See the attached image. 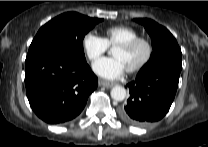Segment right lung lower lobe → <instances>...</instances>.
I'll return each mask as SVG.
<instances>
[{
  "mask_svg": "<svg viewBox=\"0 0 208 147\" xmlns=\"http://www.w3.org/2000/svg\"><path fill=\"white\" fill-rule=\"evenodd\" d=\"M25 85L35 114L49 124H61L81 113L98 78L86 60L64 51H47L26 58Z\"/></svg>",
  "mask_w": 208,
  "mask_h": 147,
  "instance_id": "obj_1",
  "label": "right lung lower lobe"
}]
</instances>
